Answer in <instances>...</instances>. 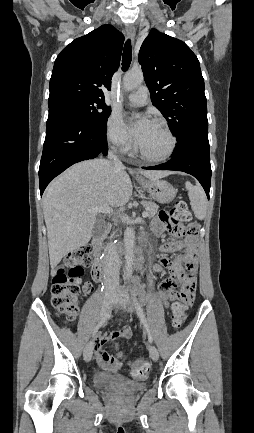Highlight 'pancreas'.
<instances>
[{
	"label": "pancreas",
	"mask_w": 254,
	"mask_h": 433,
	"mask_svg": "<svg viewBox=\"0 0 254 433\" xmlns=\"http://www.w3.org/2000/svg\"><path fill=\"white\" fill-rule=\"evenodd\" d=\"M141 204L145 207L147 211V216L152 218L158 211L159 206L152 201H142Z\"/></svg>",
	"instance_id": "1"
}]
</instances>
